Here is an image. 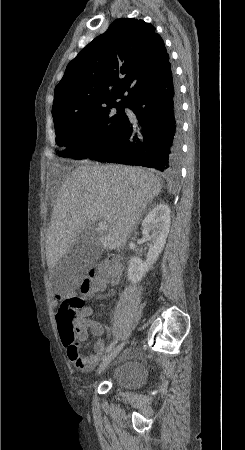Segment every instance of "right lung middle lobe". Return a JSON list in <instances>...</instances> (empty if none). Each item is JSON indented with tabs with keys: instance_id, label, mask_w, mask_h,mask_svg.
Returning <instances> with one entry per match:
<instances>
[{
	"instance_id": "1",
	"label": "right lung middle lobe",
	"mask_w": 245,
	"mask_h": 450,
	"mask_svg": "<svg viewBox=\"0 0 245 450\" xmlns=\"http://www.w3.org/2000/svg\"><path fill=\"white\" fill-rule=\"evenodd\" d=\"M125 107L112 104L82 111L65 107L52 110L57 143L69 150L60 155L79 160L106 149L118 138L127 120Z\"/></svg>"
}]
</instances>
